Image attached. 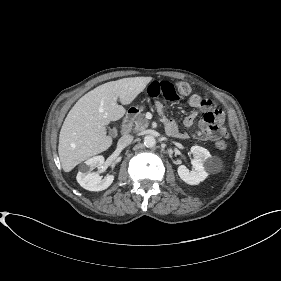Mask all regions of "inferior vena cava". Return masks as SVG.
<instances>
[{
	"label": "inferior vena cava",
	"mask_w": 281,
	"mask_h": 281,
	"mask_svg": "<svg viewBox=\"0 0 281 281\" xmlns=\"http://www.w3.org/2000/svg\"><path fill=\"white\" fill-rule=\"evenodd\" d=\"M132 141H133V136H132V135H129V134L123 135V136L118 140V146H120V147H126V146H128L129 144H131Z\"/></svg>",
	"instance_id": "1"
}]
</instances>
